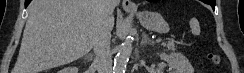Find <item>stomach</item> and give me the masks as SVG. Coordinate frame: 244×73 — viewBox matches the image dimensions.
<instances>
[{
  "label": "stomach",
  "mask_w": 244,
  "mask_h": 73,
  "mask_svg": "<svg viewBox=\"0 0 244 73\" xmlns=\"http://www.w3.org/2000/svg\"><path fill=\"white\" fill-rule=\"evenodd\" d=\"M136 16L138 17L140 24L149 31L165 34L170 30L168 23L162 15L157 12H139L136 13Z\"/></svg>",
  "instance_id": "stomach-1"
}]
</instances>
